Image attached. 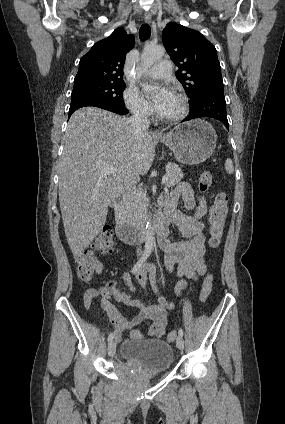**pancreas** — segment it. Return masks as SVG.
Returning a JSON list of instances; mask_svg holds the SVG:
<instances>
[{
    "label": "pancreas",
    "mask_w": 285,
    "mask_h": 424,
    "mask_svg": "<svg viewBox=\"0 0 285 424\" xmlns=\"http://www.w3.org/2000/svg\"><path fill=\"white\" fill-rule=\"evenodd\" d=\"M167 181L166 187H173L183 178L181 168L174 164L169 163L166 165ZM148 198L146 193L141 190H131L127 193L122 201V212L124 217L133 223H138L147 211Z\"/></svg>",
    "instance_id": "cf45deb5"
}]
</instances>
